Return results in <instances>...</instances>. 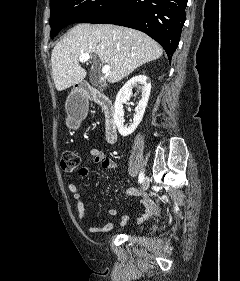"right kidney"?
I'll list each match as a JSON object with an SVG mask.
<instances>
[{
    "label": "right kidney",
    "instance_id": "ca27d5eb",
    "mask_svg": "<svg viewBox=\"0 0 240 281\" xmlns=\"http://www.w3.org/2000/svg\"><path fill=\"white\" fill-rule=\"evenodd\" d=\"M138 86L142 92L141 100L135 108L136 115L134 116L133 123L129 126L125 125L124 122V111L123 103L130 99L132 95V89L134 86ZM151 91V84L145 75H138L127 81L125 85L120 89L116 96L114 104V121L118 128L120 135L128 136L135 131L140 122L143 119L145 109L147 107L149 95Z\"/></svg>",
    "mask_w": 240,
    "mask_h": 281
}]
</instances>
